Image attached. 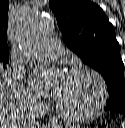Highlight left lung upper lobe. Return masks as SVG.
<instances>
[{
	"label": "left lung upper lobe",
	"mask_w": 125,
	"mask_h": 128,
	"mask_svg": "<svg viewBox=\"0 0 125 128\" xmlns=\"http://www.w3.org/2000/svg\"><path fill=\"white\" fill-rule=\"evenodd\" d=\"M65 44L104 78L108 108L125 107L124 64L115 30L103 10L90 0H50Z\"/></svg>",
	"instance_id": "left-lung-upper-lobe-1"
}]
</instances>
